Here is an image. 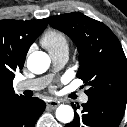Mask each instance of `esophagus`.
<instances>
[{"label": "esophagus", "mask_w": 127, "mask_h": 127, "mask_svg": "<svg viewBox=\"0 0 127 127\" xmlns=\"http://www.w3.org/2000/svg\"><path fill=\"white\" fill-rule=\"evenodd\" d=\"M48 108L54 110L59 106V102L55 100H49L46 102Z\"/></svg>", "instance_id": "1"}]
</instances>
